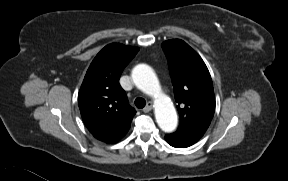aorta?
Instances as JSON below:
<instances>
[{
	"instance_id": "obj_1",
	"label": "aorta",
	"mask_w": 288,
	"mask_h": 181,
	"mask_svg": "<svg viewBox=\"0 0 288 181\" xmlns=\"http://www.w3.org/2000/svg\"><path fill=\"white\" fill-rule=\"evenodd\" d=\"M132 79L137 88L155 97V117L158 126L164 132L176 129L178 118L170 98L161 93L160 84L155 72L145 64L137 65L132 71Z\"/></svg>"
}]
</instances>
